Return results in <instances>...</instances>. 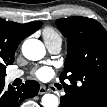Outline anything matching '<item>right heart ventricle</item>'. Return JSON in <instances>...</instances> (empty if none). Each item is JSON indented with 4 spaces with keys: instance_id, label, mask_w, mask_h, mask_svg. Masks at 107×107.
Returning a JSON list of instances; mask_svg holds the SVG:
<instances>
[{
    "instance_id": "obj_1",
    "label": "right heart ventricle",
    "mask_w": 107,
    "mask_h": 107,
    "mask_svg": "<svg viewBox=\"0 0 107 107\" xmlns=\"http://www.w3.org/2000/svg\"><path fill=\"white\" fill-rule=\"evenodd\" d=\"M43 38L45 42H49L53 40H62L61 35L52 27L44 28Z\"/></svg>"
}]
</instances>
